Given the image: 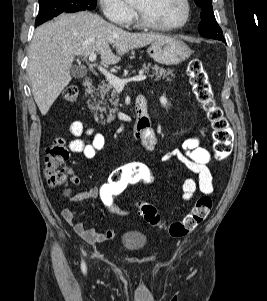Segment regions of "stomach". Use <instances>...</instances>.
I'll list each match as a JSON object with an SVG mask.
<instances>
[{
	"instance_id": "obj_1",
	"label": "stomach",
	"mask_w": 267,
	"mask_h": 301,
	"mask_svg": "<svg viewBox=\"0 0 267 301\" xmlns=\"http://www.w3.org/2000/svg\"><path fill=\"white\" fill-rule=\"evenodd\" d=\"M149 56L164 65H177L192 55V50L182 40L164 36L153 42L147 49Z\"/></svg>"
}]
</instances>
